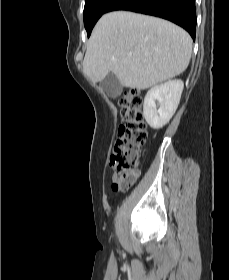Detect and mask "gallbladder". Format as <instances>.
Listing matches in <instances>:
<instances>
[{
	"label": "gallbladder",
	"mask_w": 229,
	"mask_h": 280,
	"mask_svg": "<svg viewBox=\"0 0 229 280\" xmlns=\"http://www.w3.org/2000/svg\"><path fill=\"white\" fill-rule=\"evenodd\" d=\"M100 87L107 93L111 98L118 97L122 92V85L118 78L113 74L109 73L101 82Z\"/></svg>",
	"instance_id": "obj_1"
}]
</instances>
